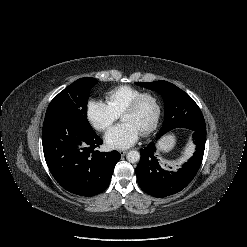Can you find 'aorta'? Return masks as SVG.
I'll list each match as a JSON object with an SVG mask.
<instances>
[{
	"instance_id": "obj_1",
	"label": "aorta",
	"mask_w": 247,
	"mask_h": 247,
	"mask_svg": "<svg viewBox=\"0 0 247 247\" xmlns=\"http://www.w3.org/2000/svg\"><path fill=\"white\" fill-rule=\"evenodd\" d=\"M126 158L130 163H136L140 160V153L136 150H131L127 153Z\"/></svg>"
}]
</instances>
